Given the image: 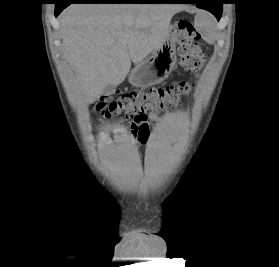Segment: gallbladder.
<instances>
[{
  "label": "gallbladder",
  "mask_w": 279,
  "mask_h": 267,
  "mask_svg": "<svg viewBox=\"0 0 279 267\" xmlns=\"http://www.w3.org/2000/svg\"><path fill=\"white\" fill-rule=\"evenodd\" d=\"M115 90V86L112 84L107 85L104 89H103V94H111L113 93Z\"/></svg>",
  "instance_id": "obj_1"
}]
</instances>
